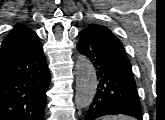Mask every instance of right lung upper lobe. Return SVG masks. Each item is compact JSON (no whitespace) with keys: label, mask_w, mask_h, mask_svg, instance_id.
I'll return each mask as SVG.
<instances>
[{"label":"right lung upper lobe","mask_w":165,"mask_h":120,"mask_svg":"<svg viewBox=\"0 0 165 120\" xmlns=\"http://www.w3.org/2000/svg\"><path fill=\"white\" fill-rule=\"evenodd\" d=\"M31 32L33 31L24 25H16L14 29L4 38L2 44L24 37Z\"/></svg>","instance_id":"obj_1"}]
</instances>
